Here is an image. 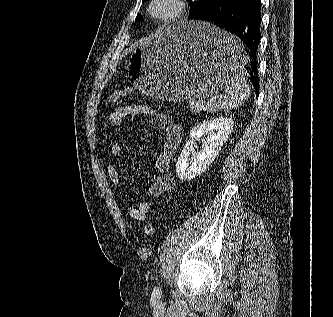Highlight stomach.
<instances>
[{
	"label": "stomach",
	"instance_id": "obj_1",
	"mask_svg": "<svg viewBox=\"0 0 333 317\" xmlns=\"http://www.w3.org/2000/svg\"><path fill=\"white\" fill-rule=\"evenodd\" d=\"M231 29L206 22L175 23L135 48L127 70L143 94L165 101L204 100L228 88L248 62Z\"/></svg>",
	"mask_w": 333,
	"mask_h": 317
}]
</instances>
